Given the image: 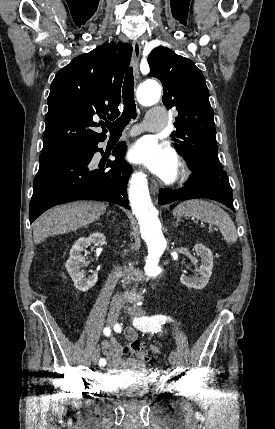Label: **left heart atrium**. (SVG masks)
<instances>
[{
	"label": "left heart atrium",
	"mask_w": 275,
	"mask_h": 429,
	"mask_svg": "<svg viewBox=\"0 0 275 429\" xmlns=\"http://www.w3.org/2000/svg\"><path fill=\"white\" fill-rule=\"evenodd\" d=\"M129 159L145 164L165 180H171L177 171V158L173 150L151 140L137 142L129 152Z\"/></svg>",
	"instance_id": "obj_1"
}]
</instances>
